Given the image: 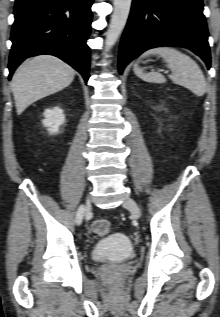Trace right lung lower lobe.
<instances>
[{"mask_svg":"<svg viewBox=\"0 0 220 317\" xmlns=\"http://www.w3.org/2000/svg\"><path fill=\"white\" fill-rule=\"evenodd\" d=\"M93 0H16L9 58V79L28 57L50 54L89 78L90 52L86 45Z\"/></svg>","mask_w":220,"mask_h":317,"instance_id":"98d812e1","label":"right lung lower lobe"}]
</instances>
